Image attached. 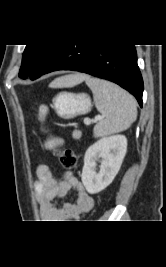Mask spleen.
I'll return each mask as SVG.
<instances>
[{
  "mask_svg": "<svg viewBox=\"0 0 166 267\" xmlns=\"http://www.w3.org/2000/svg\"><path fill=\"white\" fill-rule=\"evenodd\" d=\"M86 84L93 92L97 110L104 116L94 127L95 137L124 131L136 120L137 104L132 95L119 86L98 78L87 77ZM61 143L62 139L54 138L47 142L46 147Z\"/></svg>",
  "mask_w": 166,
  "mask_h": 267,
  "instance_id": "obj_1",
  "label": "spleen"
}]
</instances>
